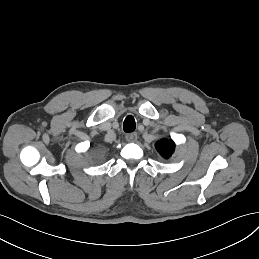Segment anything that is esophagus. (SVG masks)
I'll list each match as a JSON object with an SVG mask.
<instances>
[{
    "label": "esophagus",
    "instance_id": "obj_1",
    "mask_svg": "<svg viewBox=\"0 0 259 259\" xmlns=\"http://www.w3.org/2000/svg\"><path fill=\"white\" fill-rule=\"evenodd\" d=\"M126 140L128 142H135L137 140V133H129L126 135Z\"/></svg>",
    "mask_w": 259,
    "mask_h": 259
}]
</instances>
